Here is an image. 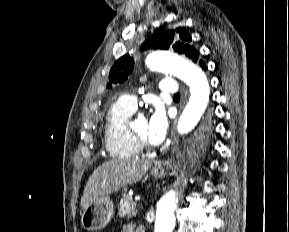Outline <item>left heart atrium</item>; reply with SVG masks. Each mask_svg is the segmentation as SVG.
<instances>
[{
    "mask_svg": "<svg viewBox=\"0 0 289 232\" xmlns=\"http://www.w3.org/2000/svg\"><path fill=\"white\" fill-rule=\"evenodd\" d=\"M168 119L161 106H156L147 120V138L149 143L158 145L166 137Z\"/></svg>",
    "mask_w": 289,
    "mask_h": 232,
    "instance_id": "39dd6f15",
    "label": "left heart atrium"
}]
</instances>
